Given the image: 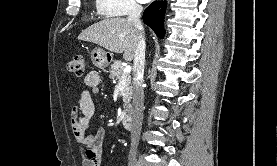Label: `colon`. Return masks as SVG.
Segmentation results:
<instances>
[{
	"instance_id": "colon-1",
	"label": "colon",
	"mask_w": 277,
	"mask_h": 166,
	"mask_svg": "<svg viewBox=\"0 0 277 166\" xmlns=\"http://www.w3.org/2000/svg\"><path fill=\"white\" fill-rule=\"evenodd\" d=\"M69 71L76 76H82L85 70L84 58L81 55L74 56L68 64Z\"/></svg>"
}]
</instances>
